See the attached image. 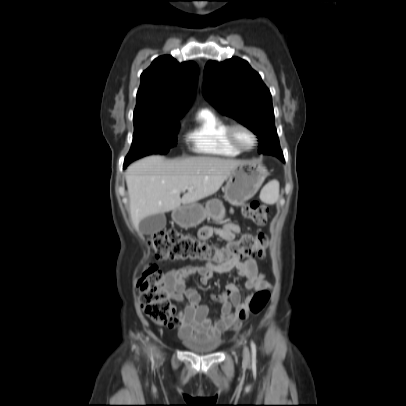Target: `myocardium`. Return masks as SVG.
<instances>
[{"mask_svg":"<svg viewBox=\"0 0 406 406\" xmlns=\"http://www.w3.org/2000/svg\"><path fill=\"white\" fill-rule=\"evenodd\" d=\"M238 129H243L246 130L252 137L253 139V143L251 146L246 147L243 146L237 139L236 137V131ZM227 137L229 139V141L239 150L241 151H249L252 150L256 145H257V141H258V137L256 135V133L254 132V130L248 126L245 123L242 122H234L232 124H229L228 129H227Z\"/></svg>","mask_w":406,"mask_h":406,"instance_id":"f54148a6","label":"myocardium"}]
</instances>
